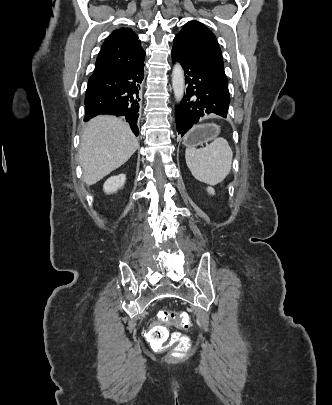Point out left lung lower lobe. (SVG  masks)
<instances>
[{"label":"left lung lower lobe","mask_w":332,"mask_h":405,"mask_svg":"<svg viewBox=\"0 0 332 405\" xmlns=\"http://www.w3.org/2000/svg\"><path fill=\"white\" fill-rule=\"evenodd\" d=\"M172 61L181 63L188 85L175 114L178 133L183 136L195 123L210 114L226 118L230 102L222 84L213 74L174 48Z\"/></svg>","instance_id":"left-lung-lower-lobe-1"}]
</instances>
